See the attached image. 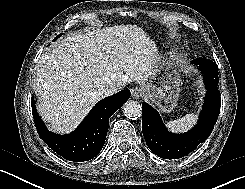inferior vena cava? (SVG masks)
<instances>
[{
  "mask_svg": "<svg viewBox=\"0 0 245 189\" xmlns=\"http://www.w3.org/2000/svg\"><path fill=\"white\" fill-rule=\"evenodd\" d=\"M120 90V87H117V86H111L109 88H107L105 91H104V94L106 96H109V95H112L116 92H118Z\"/></svg>",
  "mask_w": 245,
  "mask_h": 189,
  "instance_id": "inferior-vena-cava-1",
  "label": "inferior vena cava"
}]
</instances>
